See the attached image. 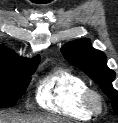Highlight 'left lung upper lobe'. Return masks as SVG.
<instances>
[{
	"instance_id": "left-lung-upper-lobe-1",
	"label": "left lung upper lobe",
	"mask_w": 118,
	"mask_h": 123,
	"mask_svg": "<svg viewBox=\"0 0 118 123\" xmlns=\"http://www.w3.org/2000/svg\"><path fill=\"white\" fill-rule=\"evenodd\" d=\"M61 52L66 60L71 61L100 86L111 100L114 112L118 114V92L112 86L115 72L107 67L104 53L94 49L86 38L66 44Z\"/></svg>"
}]
</instances>
